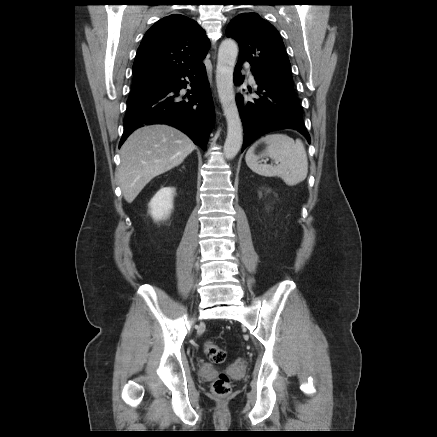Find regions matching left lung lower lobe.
<instances>
[{
  "mask_svg": "<svg viewBox=\"0 0 437 437\" xmlns=\"http://www.w3.org/2000/svg\"><path fill=\"white\" fill-rule=\"evenodd\" d=\"M241 68L242 61L238 60L234 71L235 85L243 82ZM253 75L258 85L255 91L257 97L247 100L240 94L236 96L245 135L242 151L261 135L282 128L299 131L310 143V135L303 123L301 106L295 95L262 81L254 73ZM249 91L251 92V89Z\"/></svg>",
  "mask_w": 437,
  "mask_h": 437,
  "instance_id": "left-lung-lower-lobe-1",
  "label": "left lung lower lobe"
}]
</instances>
